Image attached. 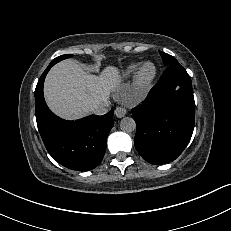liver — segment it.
I'll return each mask as SVG.
<instances>
[{
    "label": "liver",
    "instance_id": "6515ba94",
    "mask_svg": "<svg viewBox=\"0 0 231 231\" xmlns=\"http://www.w3.org/2000/svg\"><path fill=\"white\" fill-rule=\"evenodd\" d=\"M121 84L118 68L107 66L99 76L87 74L75 61L56 64L44 83L48 107L64 119H78L91 113L94 106L108 102Z\"/></svg>",
    "mask_w": 231,
    "mask_h": 231
}]
</instances>
